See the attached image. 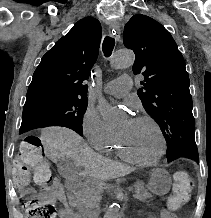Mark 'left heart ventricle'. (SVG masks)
Returning <instances> with one entry per match:
<instances>
[{
    "mask_svg": "<svg viewBox=\"0 0 211 218\" xmlns=\"http://www.w3.org/2000/svg\"><path fill=\"white\" fill-rule=\"evenodd\" d=\"M117 135L128 150L139 158L152 159L160 150L159 135L147 120H124L117 130Z\"/></svg>",
    "mask_w": 211,
    "mask_h": 218,
    "instance_id": "obj_1",
    "label": "left heart ventricle"
}]
</instances>
